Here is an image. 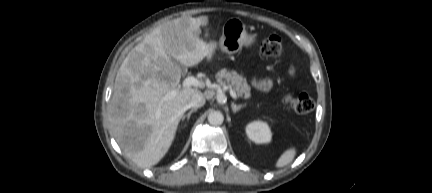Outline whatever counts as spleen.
<instances>
[{"label": "spleen", "instance_id": "obj_1", "mask_svg": "<svg viewBox=\"0 0 432 193\" xmlns=\"http://www.w3.org/2000/svg\"><path fill=\"white\" fill-rule=\"evenodd\" d=\"M296 155V150L295 148H289L286 151H284L282 153V155L278 158L275 167L276 168H282L286 165H288L289 163H291L294 159Z\"/></svg>", "mask_w": 432, "mask_h": 193}]
</instances>
